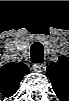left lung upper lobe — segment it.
Wrapping results in <instances>:
<instances>
[{"instance_id":"left-lung-upper-lobe-1","label":"left lung upper lobe","mask_w":69,"mask_h":101,"mask_svg":"<svg viewBox=\"0 0 69 101\" xmlns=\"http://www.w3.org/2000/svg\"><path fill=\"white\" fill-rule=\"evenodd\" d=\"M46 75L52 82L55 93L63 94L69 83V58L60 56L56 63H50L46 70Z\"/></svg>"}]
</instances>
